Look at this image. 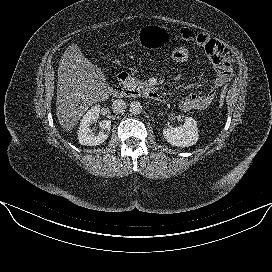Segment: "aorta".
<instances>
[{
    "label": "aorta",
    "mask_w": 272,
    "mask_h": 272,
    "mask_svg": "<svg viewBox=\"0 0 272 272\" xmlns=\"http://www.w3.org/2000/svg\"><path fill=\"white\" fill-rule=\"evenodd\" d=\"M129 111L134 114V115H138L142 112V105L140 102L138 101H133L130 103L129 106Z\"/></svg>",
    "instance_id": "obj_1"
}]
</instances>
